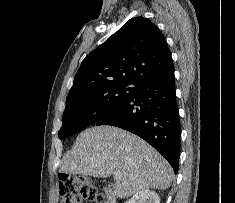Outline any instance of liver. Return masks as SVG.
Returning <instances> with one entry per match:
<instances>
[{"instance_id": "obj_1", "label": "liver", "mask_w": 235, "mask_h": 203, "mask_svg": "<svg viewBox=\"0 0 235 203\" xmlns=\"http://www.w3.org/2000/svg\"><path fill=\"white\" fill-rule=\"evenodd\" d=\"M61 172L116 178L114 193L128 198L146 189L165 190L174 177L170 164L140 137L113 126L81 132L64 158Z\"/></svg>"}]
</instances>
